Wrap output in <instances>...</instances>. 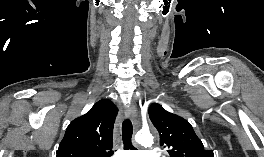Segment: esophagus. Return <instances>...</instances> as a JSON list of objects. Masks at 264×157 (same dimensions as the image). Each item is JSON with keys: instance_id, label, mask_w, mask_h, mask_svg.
<instances>
[{"instance_id": "obj_1", "label": "esophagus", "mask_w": 264, "mask_h": 157, "mask_svg": "<svg viewBox=\"0 0 264 157\" xmlns=\"http://www.w3.org/2000/svg\"><path fill=\"white\" fill-rule=\"evenodd\" d=\"M125 114L127 117H130L132 120H135L137 112L134 105H130L125 109Z\"/></svg>"}]
</instances>
